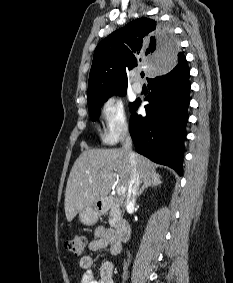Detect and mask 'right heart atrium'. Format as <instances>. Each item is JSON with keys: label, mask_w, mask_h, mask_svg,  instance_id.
I'll return each mask as SVG.
<instances>
[{"label": "right heart atrium", "mask_w": 233, "mask_h": 283, "mask_svg": "<svg viewBox=\"0 0 233 283\" xmlns=\"http://www.w3.org/2000/svg\"><path fill=\"white\" fill-rule=\"evenodd\" d=\"M102 121L101 139L107 145L116 144L128 132L129 124L122 101L110 97L100 109Z\"/></svg>", "instance_id": "1"}]
</instances>
